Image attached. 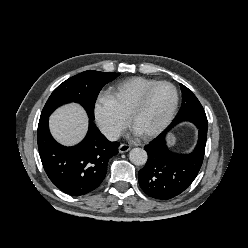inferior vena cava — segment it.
<instances>
[{
	"instance_id": "obj_1",
	"label": "inferior vena cava",
	"mask_w": 248,
	"mask_h": 248,
	"mask_svg": "<svg viewBox=\"0 0 248 248\" xmlns=\"http://www.w3.org/2000/svg\"><path fill=\"white\" fill-rule=\"evenodd\" d=\"M103 134L110 141H116L120 137V132L113 128H107L103 131Z\"/></svg>"
}]
</instances>
